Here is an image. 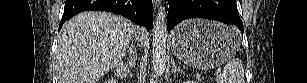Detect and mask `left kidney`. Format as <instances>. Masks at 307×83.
<instances>
[{"instance_id": "1", "label": "left kidney", "mask_w": 307, "mask_h": 83, "mask_svg": "<svg viewBox=\"0 0 307 83\" xmlns=\"http://www.w3.org/2000/svg\"><path fill=\"white\" fill-rule=\"evenodd\" d=\"M184 83H196V82H195V81L189 80V81H186V82H184Z\"/></svg>"}]
</instances>
